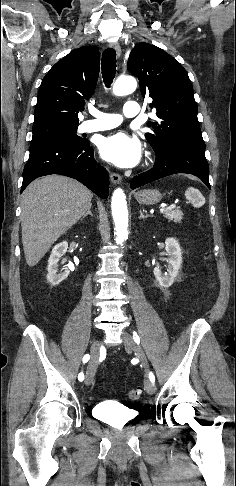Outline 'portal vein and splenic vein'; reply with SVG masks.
<instances>
[{
	"mask_svg": "<svg viewBox=\"0 0 236 486\" xmlns=\"http://www.w3.org/2000/svg\"><path fill=\"white\" fill-rule=\"evenodd\" d=\"M176 208V205H170V206H167V207H163L160 209V212L161 213H164V212H167V211H172L173 209Z\"/></svg>",
	"mask_w": 236,
	"mask_h": 486,
	"instance_id": "1",
	"label": "portal vein and splenic vein"
}]
</instances>
